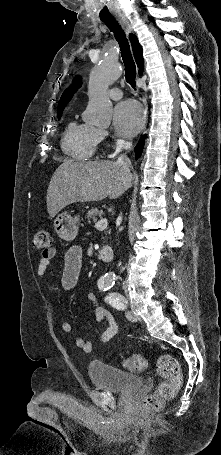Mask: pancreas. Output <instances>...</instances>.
<instances>
[{"mask_svg": "<svg viewBox=\"0 0 221 455\" xmlns=\"http://www.w3.org/2000/svg\"><path fill=\"white\" fill-rule=\"evenodd\" d=\"M104 214L103 210H99L98 208H91L87 215L86 218L88 220L92 219L93 221H97L98 217H101Z\"/></svg>", "mask_w": 221, "mask_h": 455, "instance_id": "obj_1", "label": "pancreas"}]
</instances>
